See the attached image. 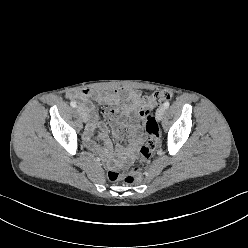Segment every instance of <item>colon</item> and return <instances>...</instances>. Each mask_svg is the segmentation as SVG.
<instances>
[{
	"label": "colon",
	"instance_id": "colon-1",
	"mask_svg": "<svg viewBox=\"0 0 248 248\" xmlns=\"http://www.w3.org/2000/svg\"><path fill=\"white\" fill-rule=\"evenodd\" d=\"M172 93L166 90H158L143 99L140 116L148 134L147 142L140 149V160L129 172L119 173L110 170L107 179L110 182L136 183L142 176V164L147 162L153 155L160 142V129L157 120L151 113V109L165 100L172 99Z\"/></svg>",
	"mask_w": 248,
	"mask_h": 248
}]
</instances>
